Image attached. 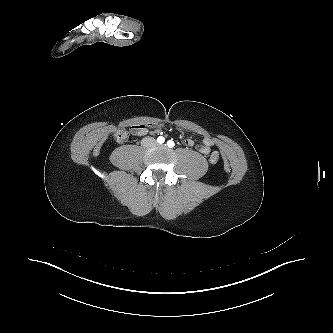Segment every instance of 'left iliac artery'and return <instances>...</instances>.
<instances>
[{
	"mask_svg": "<svg viewBox=\"0 0 333 333\" xmlns=\"http://www.w3.org/2000/svg\"><path fill=\"white\" fill-rule=\"evenodd\" d=\"M167 145H168V147L173 148V147L175 146V143H174V141L169 140V141L167 142Z\"/></svg>",
	"mask_w": 333,
	"mask_h": 333,
	"instance_id": "44dca946",
	"label": "left iliac artery"
}]
</instances>
